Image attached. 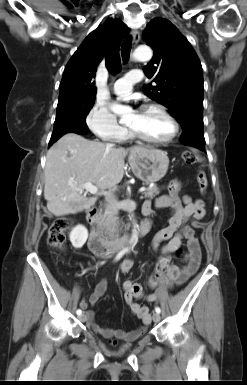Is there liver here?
Instances as JSON below:
<instances>
[{
	"label": "liver",
	"instance_id": "6515ba94",
	"mask_svg": "<svg viewBox=\"0 0 247 385\" xmlns=\"http://www.w3.org/2000/svg\"><path fill=\"white\" fill-rule=\"evenodd\" d=\"M128 151L90 141L76 133L63 135L47 152L44 198L56 217L75 214L93 205L97 197L82 195V184L100 190L115 187L124 175Z\"/></svg>",
	"mask_w": 247,
	"mask_h": 385
}]
</instances>
